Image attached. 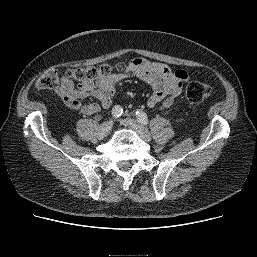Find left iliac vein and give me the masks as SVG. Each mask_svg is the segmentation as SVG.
<instances>
[{"label": "left iliac vein", "mask_w": 257, "mask_h": 257, "mask_svg": "<svg viewBox=\"0 0 257 257\" xmlns=\"http://www.w3.org/2000/svg\"><path fill=\"white\" fill-rule=\"evenodd\" d=\"M122 123L128 128L134 130L142 140L147 142L151 140V135L148 132V130L143 125H141L138 121L131 118H127L122 120Z\"/></svg>", "instance_id": "1"}]
</instances>
